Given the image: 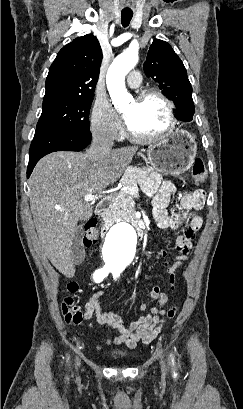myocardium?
Returning a JSON list of instances; mask_svg holds the SVG:
<instances>
[{
    "instance_id": "myocardium-1",
    "label": "myocardium",
    "mask_w": 243,
    "mask_h": 409,
    "mask_svg": "<svg viewBox=\"0 0 243 409\" xmlns=\"http://www.w3.org/2000/svg\"><path fill=\"white\" fill-rule=\"evenodd\" d=\"M151 97L157 98L164 104L166 108V112H167L168 125L166 126L165 129H163L162 131L158 133L150 134V135H139V134L134 133L126 123L127 134L129 138L135 142L144 143V142H151V141L158 140L162 138L163 136L167 135L168 133L172 132L174 128L176 127L177 119H176V115L174 111V104L165 94H163L158 89L148 88V89L141 90L136 94L135 100L140 102V101H144Z\"/></svg>"
}]
</instances>
